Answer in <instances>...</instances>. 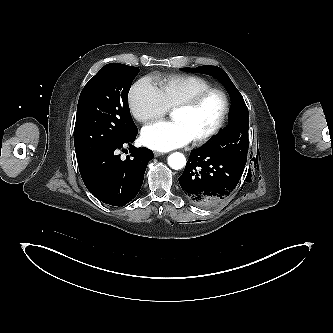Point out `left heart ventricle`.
I'll use <instances>...</instances> for the list:
<instances>
[{
  "instance_id": "b2bd125f",
  "label": "left heart ventricle",
  "mask_w": 333,
  "mask_h": 333,
  "mask_svg": "<svg viewBox=\"0 0 333 333\" xmlns=\"http://www.w3.org/2000/svg\"><path fill=\"white\" fill-rule=\"evenodd\" d=\"M223 111V100L213 94L193 110H176L172 120L181 123L192 140L209 132L218 122Z\"/></svg>"
}]
</instances>
